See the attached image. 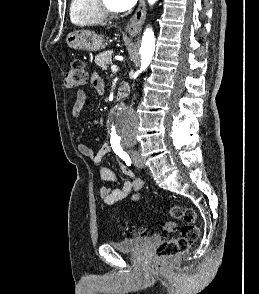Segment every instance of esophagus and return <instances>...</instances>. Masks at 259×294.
<instances>
[{
  "label": "esophagus",
  "mask_w": 259,
  "mask_h": 294,
  "mask_svg": "<svg viewBox=\"0 0 259 294\" xmlns=\"http://www.w3.org/2000/svg\"><path fill=\"white\" fill-rule=\"evenodd\" d=\"M146 15V2L145 0H140L138 8L134 15L131 17L127 26L125 28L131 36H136L142 29V25L145 20Z\"/></svg>",
  "instance_id": "34e87169"
}]
</instances>
